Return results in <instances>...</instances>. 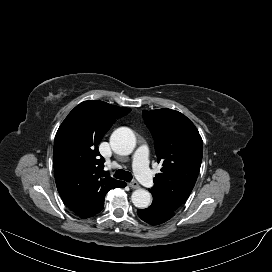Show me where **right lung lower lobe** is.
<instances>
[{"label":"right lung lower lobe","instance_id":"right-lung-lower-lobe-1","mask_svg":"<svg viewBox=\"0 0 272 272\" xmlns=\"http://www.w3.org/2000/svg\"><path fill=\"white\" fill-rule=\"evenodd\" d=\"M126 186V183L121 181V183L119 184V187H125Z\"/></svg>","mask_w":272,"mask_h":272}]
</instances>
